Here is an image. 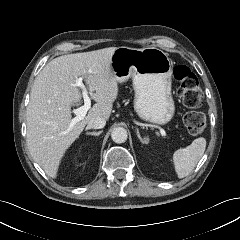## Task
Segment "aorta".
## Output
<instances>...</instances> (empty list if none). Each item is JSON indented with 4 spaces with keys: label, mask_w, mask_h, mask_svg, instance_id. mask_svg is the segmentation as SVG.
I'll return each instance as SVG.
<instances>
[{
    "label": "aorta",
    "mask_w": 240,
    "mask_h": 240,
    "mask_svg": "<svg viewBox=\"0 0 240 240\" xmlns=\"http://www.w3.org/2000/svg\"><path fill=\"white\" fill-rule=\"evenodd\" d=\"M111 138L115 143H124L128 138L126 129L123 127L114 128L111 133Z\"/></svg>",
    "instance_id": "aorta-1"
}]
</instances>
